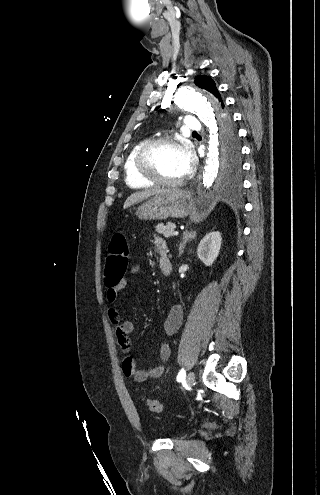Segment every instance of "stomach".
<instances>
[{
	"instance_id": "obj_1",
	"label": "stomach",
	"mask_w": 320,
	"mask_h": 495,
	"mask_svg": "<svg viewBox=\"0 0 320 495\" xmlns=\"http://www.w3.org/2000/svg\"><path fill=\"white\" fill-rule=\"evenodd\" d=\"M190 213L189 195L180 188L167 190L151 198L136 211L141 220L184 218Z\"/></svg>"
}]
</instances>
